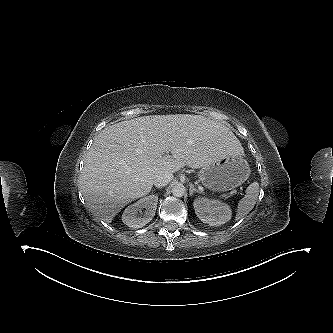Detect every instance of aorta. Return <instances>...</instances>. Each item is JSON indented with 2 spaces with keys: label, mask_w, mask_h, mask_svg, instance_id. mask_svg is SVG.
I'll use <instances>...</instances> for the list:
<instances>
[{
  "label": "aorta",
  "mask_w": 333,
  "mask_h": 333,
  "mask_svg": "<svg viewBox=\"0 0 333 333\" xmlns=\"http://www.w3.org/2000/svg\"><path fill=\"white\" fill-rule=\"evenodd\" d=\"M185 191H186L185 186L181 183H178L172 187L171 192L175 197H182L184 196Z\"/></svg>",
  "instance_id": "aorta-1"
}]
</instances>
